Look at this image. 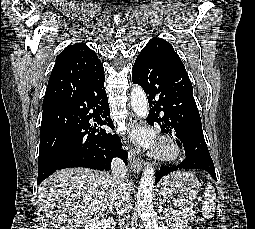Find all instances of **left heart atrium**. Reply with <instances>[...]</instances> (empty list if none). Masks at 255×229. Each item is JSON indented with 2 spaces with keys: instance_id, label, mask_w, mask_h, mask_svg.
Masks as SVG:
<instances>
[{
  "instance_id": "left-heart-atrium-1",
  "label": "left heart atrium",
  "mask_w": 255,
  "mask_h": 229,
  "mask_svg": "<svg viewBox=\"0 0 255 229\" xmlns=\"http://www.w3.org/2000/svg\"><path fill=\"white\" fill-rule=\"evenodd\" d=\"M133 138L143 146H151L154 142V137L150 131L138 129L133 132Z\"/></svg>"
}]
</instances>
